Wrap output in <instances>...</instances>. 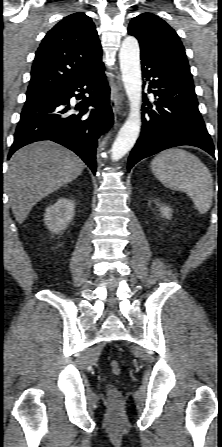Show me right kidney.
Segmentation results:
<instances>
[{
    "label": "right kidney",
    "mask_w": 222,
    "mask_h": 447,
    "mask_svg": "<svg viewBox=\"0 0 222 447\" xmlns=\"http://www.w3.org/2000/svg\"><path fill=\"white\" fill-rule=\"evenodd\" d=\"M75 204L73 200L61 198L49 206L44 214V222L52 233H61L74 217Z\"/></svg>",
    "instance_id": "1"
}]
</instances>
